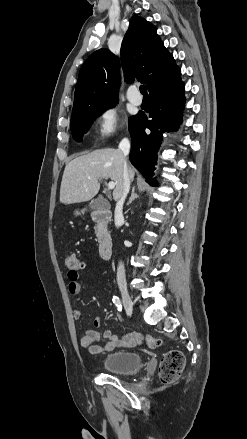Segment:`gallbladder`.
Instances as JSON below:
<instances>
[{"label": "gallbladder", "instance_id": "1", "mask_svg": "<svg viewBox=\"0 0 247 439\" xmlns=\"http://www.w3.org/2000/svg\"><path fill=\"white\" fill-rule=\"evenodd\" d=\"M101 202L102 201L100 199L92 200V202L90 203V207L92 209H101L102 208Z\"/></svg>", "mask_w": 247, "mask_h": 439}]
</instances>
